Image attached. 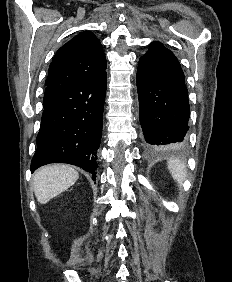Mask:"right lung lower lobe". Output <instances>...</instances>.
I'll use <instances>...</instances> for the list:
<instances>
[{"mask_svg":"<svg viewBox=\"0 0 232 282\" xmlns=\"http://www.w3.org/2000/svg\"><path fill=\"white\" fill-rule=\"evenodd\" d=\"M107 73L78 82L44 107L31 172L49 163L79 166L96 180Z\"/></svg>","mask_w":232,"mask_h":282,"instance_id":"1","label":"right lung lower lobe"}]
</instances>
